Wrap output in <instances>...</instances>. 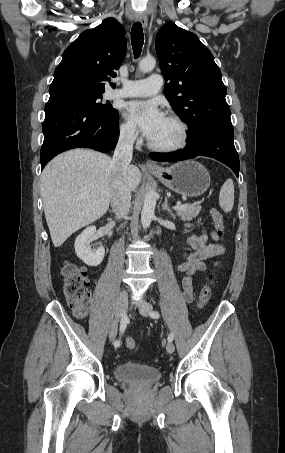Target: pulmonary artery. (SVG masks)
Returning <instances> with one entry per match:
<instances>
[{"label": "pulmonary artery", "instance_id": "obj_1", "mask_svg": "<svg viewBox=\"0 0 285 453\" xmlns=\"http://www.w3.org/2000/svg\"><path fill=\"white\" fill-rule=\"evenodd\" d=\"M163 78L160 74H152L140 80H127L123 86L110 92V97H146L158 93L162 87Z\"/></svg>", "mask_w": 285, "mask_h": 453}]
</instances>
